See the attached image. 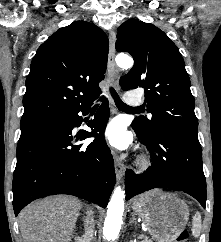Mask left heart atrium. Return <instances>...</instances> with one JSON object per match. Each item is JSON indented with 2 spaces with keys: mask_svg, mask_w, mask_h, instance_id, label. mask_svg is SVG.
Instances as JSON below:
<instances>
[{
  "mask_svg": "<svg viewBox=\"0 0 221 242\" xmlns=\"http://www.w3.org/2000/svg\"><path fill=\"white\" fill-rule=\"evenodd\" d=\"M106 141L117 149H126L132 142L130 133L120 120L110 122L103 133Z\"/></svg>",
  "mask_w": 221,
  "mask_h": 242,
  "instance_id": "1",
  "label": "left heart atrium"
}]
</instances>
